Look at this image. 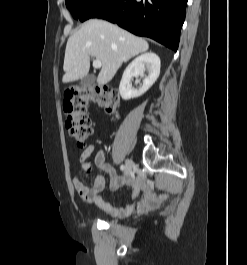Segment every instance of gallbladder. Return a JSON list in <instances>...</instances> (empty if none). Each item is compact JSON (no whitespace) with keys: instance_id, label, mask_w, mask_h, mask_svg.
<instances>
[{"instance_id":"1","label":"gallbladder","mask_w":247,"mask_h":265,"mask_svg":"<svg viewBox=\"0 0 247 265\" xmlns=\"http://www.w3.org/2000/svg\"><path fill=\"white\" fill-rule=\"evenodd\" d=\"M95 82V76L94 75H86L83 77L80 81V85L82 87L90 86Z\"/></svg>"}]
</instances>
